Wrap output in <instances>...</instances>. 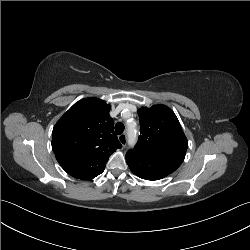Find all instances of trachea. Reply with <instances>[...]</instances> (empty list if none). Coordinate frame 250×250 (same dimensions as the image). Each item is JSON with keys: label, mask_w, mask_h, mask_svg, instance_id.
I'll return each instance as SVG.
<instances>
[{"label": "trachea", "mask_w": 250, "mask_h": 250, "mask_svg": "<svg viewBox=\"0 0 250 250\" xmlns=\"http://www.w3.org/2000/svg\"><path fill=\"white\" fill-rule=\"evenodd\" d=\"M124 128H125V127H124V124H123V123L117 122L116 125H115V132H116L118 135H120V134L123 133Z\"/></svg>", "instance_id": "1"}]
</instances>
